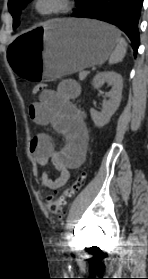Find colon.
Instances as JSON below:
<instances>
[{"mask_svg": "<svg viewBox=\"0 0 148 279\" xmlns=\"http://www.w3.org/2000/svg\"><path fill=\"white\" fill-rule=\"evenodd\" d=\"M47 90V85L44 83L36 84L33 89V94H42ZM86 177V172L82 171L72 181V183L62 192H56L54 195L47 197V207L51 214L61 216L68 198L73 196L82 187Z\"/></svg>", "mask_w": 148, "mask_h": 279, "instance_id": "1", "label": "colon"}]
</instances>
